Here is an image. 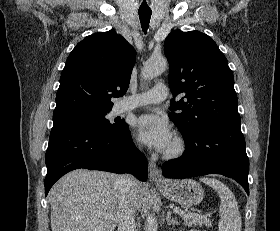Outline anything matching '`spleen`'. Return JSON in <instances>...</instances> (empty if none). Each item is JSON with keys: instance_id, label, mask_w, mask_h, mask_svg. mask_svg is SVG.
Returning a JSON list of instances; mask_svg holds the SVG:
<instances>
[{"instance_id": "3e777b00", "label": "spleen", "mask_w": 280, "mask_h": 231, "mask_svg": "<svg viewBox=\"0 0 280 231\" xmlns=\"http://www.w3.org/2000/svg\"><path fill=\"white\" fill-rule=\"evenodd\" d=\"M201 181L211 185L221 199L219 231H241L242 219L234 193L225 183L214 177H201Z\"/></svg>"}]
</instances>
